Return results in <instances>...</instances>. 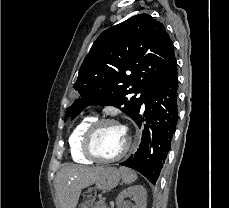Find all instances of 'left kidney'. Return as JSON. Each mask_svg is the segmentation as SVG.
<instances>
[{
  "mask_svg": "<svg viewBox=\"0 0 229 208\" xmlns=\"http://www.w3.org/2000/svg\"><path fill=\"white\" fill-rule=\"evenodd\" d=\"M124 198H134L137 206L136 208H146L147 206V192L143 186H132L128 190H123L117 198L119 208H126Z\"/></svg>",
  "mask_w": 229,
  "mask_h": 208,
  "instance_id": "1",
  "label": "left kidney"
}]
</instances>
